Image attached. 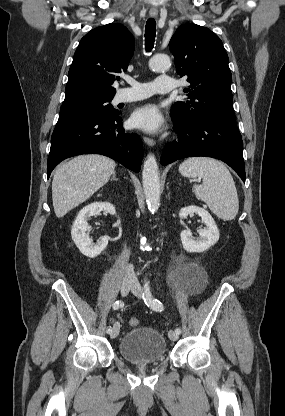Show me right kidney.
I'll list each match as a JSON object with an SVG mask.
<instances>
[{"mask_svg":"<svg viewBox=\"0 0 285 416\" xmlns=\"http://www.w3.org/2000/svg\"><path fill=\"white\" fill-rule=\"evenodd\" d=\"M100 212L116 214L113 204H108V202H94V204H89V206H85L83 210H80L72 226V240L81 254L87 256V258H96V256H99L105 250L108 244L107 236H102L97 244H93V240L86 234L90 230V226L87 224L88 218L90 216H97Z\"/></svg>","mask_w":285,"mask_h":416,"instance_id":"1","label":"right kidney"}]
</instances>
